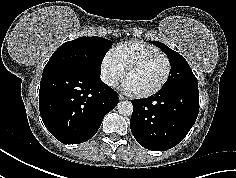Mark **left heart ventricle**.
<instances>
[{
    "instance_id": "left-heart-ventricle-1",
    "label": "left heart ventricle",
    "mask_w": 236,
    "mask_h": 178,
    "mask_svg": "<svg viewBox=\"0 0 236 178\" xmlns=\"http://www.w3.org/2000/svg\"><path fill=\"white\" fill-rule=\"evenodd\" d=\"M167 63L164 58L156 57L133 69L124 83L134 92H144L156 87L164 78Z\"/></svg>"
}]
</instances>
